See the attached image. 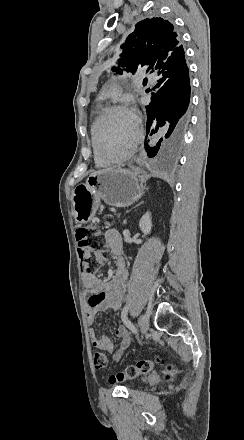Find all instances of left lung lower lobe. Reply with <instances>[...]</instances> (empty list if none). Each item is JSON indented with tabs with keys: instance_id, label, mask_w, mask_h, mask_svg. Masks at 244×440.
Wrapping results in <instances>:
<instances>
[{
	"instance_id": "obj_1",
	"label": "left lung lower lobe",
	"mask_w": 244,
	"mask_h": 440,
	"mask_svg": "<svg viewBox=\"0 0 244 440\" xmlns=\"http://www.w3.org/2000/svg\"><path fill=\"white\" fill-rule=\"evenodd\" d=\"M156 73L159 79L154 87L155 93L146 106V131L152 134L164 127L166 134L156 146L147 147L149 157H154L159 150L165 156L176 153L183 144L190 121L187 111L190 79L185 57L180 62L159 68Z\"/></svg>"
}]
</instances>
